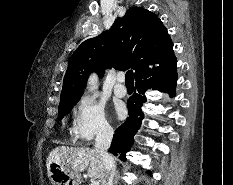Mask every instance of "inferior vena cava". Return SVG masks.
Instances as JSON below:
<instances>
[{
    "label": "inferior vena cava",
    "instance_id": "inferior-vena-cava-1",
    "mask_svg": "<svg viewBox=\"0 0 233 185\" xmlns=\"http://www.w3.org/2000/svg\"><path fill=\"white\" fill-rule=\"evenodd\" d=\"M113 133L111 126H103L97 133L95 139V150L101 156L103 164V171L100 178L101 185H113L116 165L113 156L108 153Z\"/></svg>",
    "mask_w": 233,
    "mask_h": 185
}]
</instances>
